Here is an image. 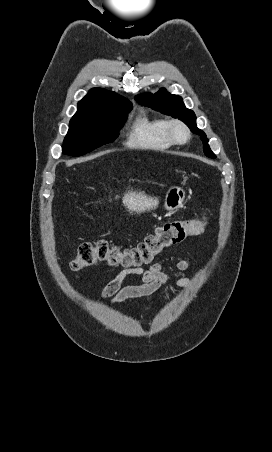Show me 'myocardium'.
Segmentation results:
<instances>
[{
    "label": "myocardium",
    "instance_id": "obj_1",
    "mask_svg": "<svg viewBox=\"0 0 272 452\" xmlns=\"http://www.w3.org/2000/svg\"><path fill=\"white\" fill-rule=\"evenodd\" d=\"M167 131L171 141L176 144H184L190 138L188 126L179 119L168 121Z\"/></svg>",
    "mask_w": 272,
    "mask_h": 452
}]
</instances>
